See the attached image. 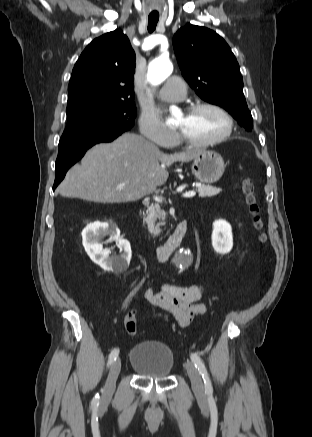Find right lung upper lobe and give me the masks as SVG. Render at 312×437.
I'll list each match as a JSON object with an SVG mask.
<instances>
[{
	"mask_svg": "<svg viewBox=\"0 0 312 437\" xmlns=\"http://www.w3.org/2000/svg\"><path fill=\"white\" fill-rule=\"evenodd\" d=\"M134 68L135 53L121 30L94 39L73 68L67 107L83 102H133Z\"/></svg>",
	"mask_w": 312,
	"mask_h": 437,
	"instance_id": "right-lung-upper-lobe-1",
	"label": "right lung upper lobe"
}]
</instances>
